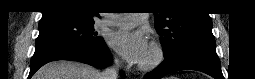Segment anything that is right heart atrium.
Instances as JSON below:
<instances>
[{"label":"right heart atrium","mask_w":255,"mask_h":79,"mask_svg":"<svg viewBox=\"0 0 255 79\" xmlns=\"http://www.w3.org/2000/svg\"><path fill=\"white\" fill-rule=\"evenodd\" d=\"M114 59H115V61H117V60H118V57H117V56H115V57H114Z\"/></svg>","instance_id":"obj_1"}]
</instances>
